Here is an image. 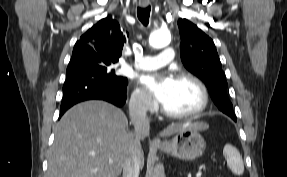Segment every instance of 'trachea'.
<instances>
[{"label": "trachea", "instance_id": "1", "mask_svg": "<svg viewBox=\"0 0 287 177\" xmlns=\"http://www.w3.org/2000/svg\"><path fill=\"white\" fill-rule=\"evenodd\" d=\"M151 7L148 6L146 8H137V16L141 23L145 26L149 23V16H150Z\"/></svg>", "mask_w": 287, "mask_h": 177}]
</instances>
